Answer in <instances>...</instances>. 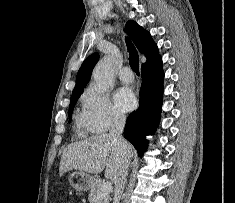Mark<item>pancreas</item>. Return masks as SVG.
I'll return each instance as SVG.
<instances>
[{"label": "pancreas", "instance_id": "pancreas-1", "mask_svg": "<svg viewBox=\"0 0 235 203\" xmlns=\"http://www.w3.org/2000/svg\"><path fill=\"white\" fill-rule=\"evenodd\" d=\"M104 183L105 182L100 179L95 180L88 196L90 203H110L111 198L109 194L101 197L98 196V191L101 189Z\"/></svg>", "mask_w": 235, "mask_h": 203}]
</instances>
